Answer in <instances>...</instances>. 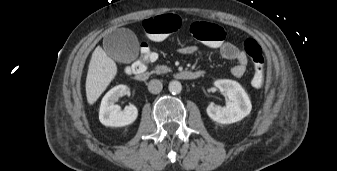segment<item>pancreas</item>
Instances as JSON below:
<instances>
[{
	"label": "pancreas",
	"instance_id": "obj_1",
	"mask_svg": "<svg viewBox=\"0 0 337 171\" xmlns=\"http://www.w3.org/2000/svg\"><path fill=\"white\" fill-rule=\"evenodd\" d=\"M171 68L165 66V65H157L155 68V73L157 74H161V73H167V72H171Z\"/></svg>",
	"mask_w": 337,
	"mask_h": 171
}]
</instances>
